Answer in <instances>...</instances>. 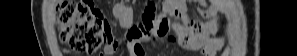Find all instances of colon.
I'll use <instances>...</instances> for the list:
<instances>
[{
  "label": "colon",
  "mask_w": 297,
  "mask_h": 56,
  "mask_svg": "<svg viewBox=\"0 0 297 56\" xmlns=\"http://www.w3.org/2000/svg\"><path fill=\"white\" fill-rule=\"evenodd\" d=\"M60 39L77 53L93 54L111 39L108 21L88 1H61L56 6Z\"/></svg>",
  "instance_id": "colon-1"
}]
</instances>
